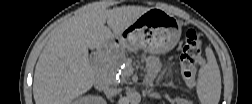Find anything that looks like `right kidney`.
<instances>
[{
	"label": "right kidney",
	"mask_w": 252,
	"mask_h": 104,
	"mask_svg": "<svg viewBox=\"0 0 252 104\" xmlns=\"http://www.w3.org/2000/svg\"><path fill=\"white\" fill-rule=\"evenodd\" d=\"M75 104H102L105 103V100L99 96H83L78 98Z\"/></svg>",
	"instance_id": "obj_1"
}]
</instances>
